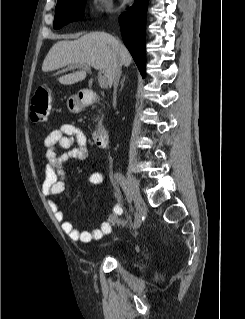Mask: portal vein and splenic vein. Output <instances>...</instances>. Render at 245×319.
<instances>
[{
    "mask_svg": "<svg viewBox=\"0 0 245 319\" xmlns=\"http://www.w3.org/2000/svg\"><path fill=\"white\" fill-rule=\"evenodd\" d=\"M78 67H82L85 70H90L91 69L90 66H83L82 65V66H78ZM98 82H99L100 87H102V88H106L108 86L107 79L104 76H99L98 77Z\"/></svg>",
    "mask_w": 245,
    "mask_h": 319,
    "instance_id": "portal-vein-and-splenic-vein-1",
    "label": "portal vein and splenic vein"
}]
</instances>
